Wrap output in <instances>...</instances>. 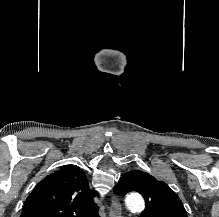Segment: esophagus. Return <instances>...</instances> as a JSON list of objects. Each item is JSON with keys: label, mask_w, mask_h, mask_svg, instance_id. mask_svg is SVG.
I'll return each mask as SVG.
<instances>
[{"label": "esophagus", "mask_w": 219, "mask_h": 217, "mask_svg": "<svg viewBox=\"0 0 219 217\" xmlns=\"http://www.w3.org/2000/svg\"><path fill=\"white\" fill-rule=\"evenodd\" d=\"M108 217H121V205L115 196H112Z\"/></svg>", "instance_id": "obj_1"}]
</instances>
